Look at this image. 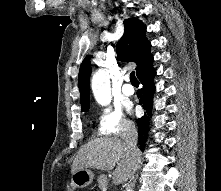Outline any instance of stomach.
<instances>
[{"instance_id":"0dacf381","label":"stomach","mask_w":221,"mask_h":191,"mask_svg":"<svg viewBox=\"0 0 221 191\" xmlns=\"http://www.w3.org/2000/svg\"><path fill=\"white\" fill-rule=\"evenodd\" d=\"M94 179V173L88 169L83 168L72 173L71 181L67 184V190L73 191L76 188H84L89 186Z\"/></svg>"}]
</instances>
